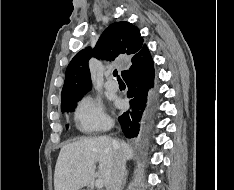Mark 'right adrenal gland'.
<instances>
[{
    "mask_svg": "<svg viewBox=\"0 0 234 190\" xmlns=\"http://www.w3.org/2000/svg\"><path fill=\"white\" fill-rule=\"evenodd\" d=\"M126 179H127V172L125 173L124 175V179H123V183H122V187H121V190H123L125 184H126Z\"/></svg>",
    "mask_w": 234,
    "mask_h": 190,
    "instance_id": "2a0ac1e0",
    "label": "right adrenal gland"
}]
</instances>
